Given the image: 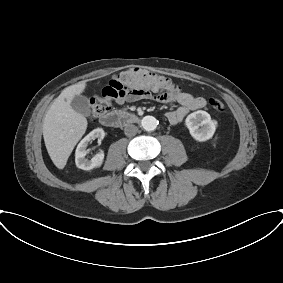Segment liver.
Returning <instances> with one entry per match:
<instances>
[{"instance_id": "1", "label": "liver", "mask_w": 283, "mask_h": 283, "mask_svg": "<svg viewBox=\"0 0 283 283\" xmlns=\"http://www.w3.org/2000/svg\"><path fill=\"white\" fill-rule=\"evenodd\" d=\"M86 88L81 81L64 89L43 119V138L48 154L58 169H63L75 145L87 129V119L73 110L71 101Z\"/></svg>"}]
</instances>
